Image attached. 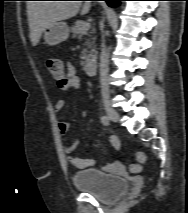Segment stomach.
Wrapping results in <instances>:
<instances>
[{
  "mask_svg": "<svg viewBox=\"0 0 188 213\" xmlns=\"http://www.w3.org/2000/svg\"><path fill=\"white\" fill-rule=\"evenodd\" d=\"M43 37L48 45L50 46L57 45L68 39L69 37L68 25L65 22L53 23L43 31Z\"/></svg>",
  "mask_w": 188,
  "mask_h": 213,
  "instance_id": "0dacf381",
  "label": "stomach"
}]
</instances>
